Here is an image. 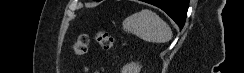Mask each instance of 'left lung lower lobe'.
<instances>
[{
  "label": "left lung lower lobe",
  "mask_w": 244,
  "mask_h": 73,
  "mask_svg": "<svg viewBox=\"0 0 244 73\" xmlns=\"http://www.w3.org/2000/svg\"><path fill=\"white\" fill-rule=\"evenodd\" d=\"M144 2L159 7L165 11L180 28H183L189 0H145Z\"/></svg>",
  "instance_id": "0a47b994"
}]
</instances>
